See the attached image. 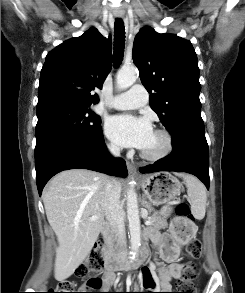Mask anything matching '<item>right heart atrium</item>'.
<instances>
[{
    "label": "right heart atrium",
    "instance_id": "obj_1",
    "mask_svg": "<svg viewBox=\"0 0 245 293\" xmlns=\"http://www.w3.org/2000/svg\"><path fill=\"white\" fill-rule=\"evenodd\" d=\"M108 149L113 154H116V153L119 152V147L116 144H114V143L108 144Z\"/></svg>",
    "mask_w": 245,
    "mask_h": 293
}]
</instances>
